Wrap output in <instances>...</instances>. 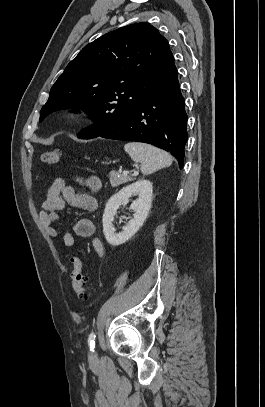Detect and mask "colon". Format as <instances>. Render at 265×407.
Returning <instances> with one entry per match:
<instances>
[{"instance_id": "1", "label": "colon", "mask_w": 265, "mask_h": 407, "mask_svg": "<svg viewBox=\"0 0 265 407\" xmlns=\"http://www.w3.org/2000/svg\"><path fill=\"white\" fill-rule=\"evenodd\" d=\"M61 157V151L58 149L46 150L41 154V161L44 164L54 165L57 164ZM72 271V287L76 294V297L81 302H87L89 300L88 291V279L83 273V262L82 260L75 256L71 259Z\"/></svg>"}]
</instances>
